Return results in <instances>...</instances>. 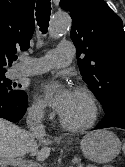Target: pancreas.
Segmentation results:
<instances>
[{"label": "pancreas", "instance_id": "cf45deb5", "mask_svg": "<svg viewBox=\"0 0 125 167\" xmlns=\"http://www.w3.org/2000/svg\"><path fill=\"white\" fill-rule=\"evenodd\" d=\"M75 160H76L77 167H83L81 162H80V158H75ZM93 167H95V166H93ZM107 167H112V166H107Z\"/></svg>", "mask_w": 125, "mask_h": 167}]
</instances>
